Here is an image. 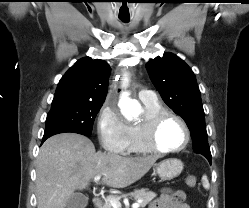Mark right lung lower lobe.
Here are the masks:
<instances>
[{
  "label": "right lung lower lobe",
  "instance_id": "obj_1",
  "mask_svg": "<svg viewBox=\"0 0 249 208\" xmlns=\"http://www.w3.org/2000/svg\"><path fill=\"white\" fill-rule=\"evenodd\" d=\"M58 133H64V132H61V131H52V132H45L44 133V136H43V139H42V143L49 137L55 135V134H58Z\"/></svg>",
  "mask_w": 249,
  "mask_h": 208
}]
</instances>
